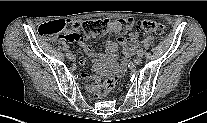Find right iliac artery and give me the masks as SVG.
<instances>
[{
    "label": "right iliac artery",
    "mask_w": 207,
    "mask_h": 123,
    "mask_svg": "<svg viewBox=\"0 0 207 123\" xmlns=\"http://www.w3.org/2000/svg\"><path fill=\"white\" fill-rule=\"evenodd\" d=\"M70 55H71V52L68 51L67 54H66V56L69 58Z\"/></svg>",
    "instance_id": "obj_1"
}]
</instances>
